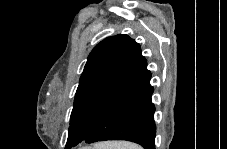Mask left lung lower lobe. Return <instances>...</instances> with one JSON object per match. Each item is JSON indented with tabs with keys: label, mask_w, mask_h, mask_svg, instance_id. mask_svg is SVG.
I'll return each instance as SVG.
<instances>
[{
	"label": "left lung lower lobe",
	"mask_w": 227,
	"mask_h": 149,
	"mask_svg": "<svg viewBox=\"0 0 227 149\" xmlns=\"http://www.w3.org/2000/svg\"><path fill=\"white\" fill-rule=\"evenodd\" d=\"M150 78L142 56L127 87L83 142L127 140L155 149V107L151 101L154 89Z\"/></svg>",
	"instance_id": "left-lung-lower-lobe-1"
}]
</instances>
